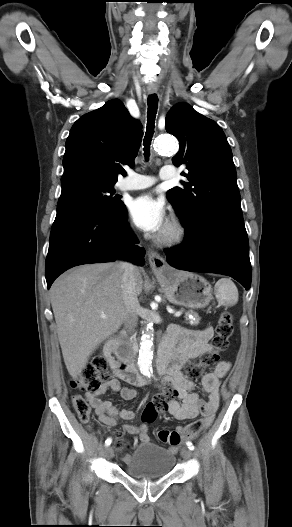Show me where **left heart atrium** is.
Returning <instances> with one entry per match:
<instances>
[{"label":"left heart atrium","mask_w":292,"mask_h":527,"mask_svg":"<svg viewBox=\"0 0 292 527\" xmlns=\"http://www.w3.org/2000/svg\"><path fill=\"white\" fill-rule=\"evenodd\" d=\"M130 213L136 226L150 233L163 232L168 225L163 202L150 194L134 199L130 205Z\"/></svg>","instance_id":"1"}]
</instances>
